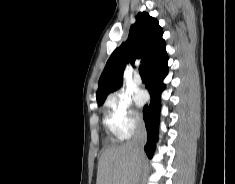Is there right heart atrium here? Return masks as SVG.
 I'll return each instance as SVG.
<instances>
[{
  "label": "right heart atrium",
  "instance_id": "right-heart-atrium-1",
  "mask_svg": "<svg viewBox=\"0 0 235 184\" xmlns=\"http://www.w3.org/2000/svg\"><path fill=\"white\" fill-rule=\"evenodd\" d=\"M104 122L120 139L130 138L141 128L140 118L131 105L130 97L123 91L110 94L103 104Z\"/></svg>",
  "mask_w": 235,
  "mask_h": 184
}]
</instances>
